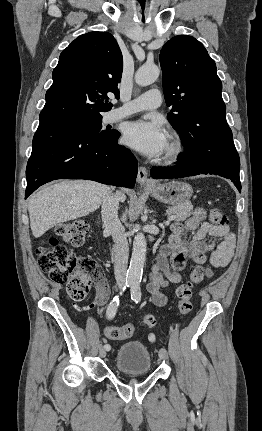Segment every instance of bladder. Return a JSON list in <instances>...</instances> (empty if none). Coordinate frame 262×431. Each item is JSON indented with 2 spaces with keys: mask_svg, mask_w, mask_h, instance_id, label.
<instances>
[{
  "mask_svg": "<svg viewBox=\"0 0 262 431\" xmlns=\"http://www.w3.org/2000/svg\"><path fill=\"white\" fill-rule=\"evenodd\" d=\"M115 365L119 371L131 375L147 374L151 370V355L141 340L123 343L117 350Z\"/></svg>",
  "mask_w": 262,
  "mask_h": 431,
  "instance_id": "obj_1",
  "label": "bladder"
}]
</instances>
